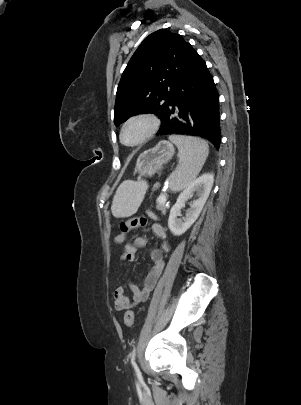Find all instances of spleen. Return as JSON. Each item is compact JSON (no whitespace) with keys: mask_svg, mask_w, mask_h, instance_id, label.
<instances>
[{"mask_svg":"<svg viewBox=\"0 0 301 405\" xmlns=\"http://www.w3.org/2000/svg\"><path fill=\"white\" fill-rule=\"evenodd\" d=\"M169 140L178 148L179 165L171 174L170 189L177 192L195 180L209 154L208 143L200 138L173 135ZM147 188L145 182L124 181L113 198L111 211L117 218L131 215L141 202Z\"/></svg>","mask_w":301,"mask_h":405,"instance_id":"1","label":"spleen"}]
</instances>
